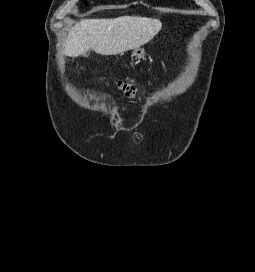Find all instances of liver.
Segmentation results:
<instances>
[{"mask_svg":"<svg viewBox=\"0 0 255 272\" xmlns=\"http://www.w3.org/2000/svg\"><path fill=\"white\" fill-rule=\"evenodd\" d=\"M158 19L123 16L113 19H85L71 28L64 53L78 57L92 49L101 55H117L140 48L161 30Z\"/></svg>","mask_w":255,"mask_h":272,"instance_id":"6515ba94","label":"liver"}]
</instances>
